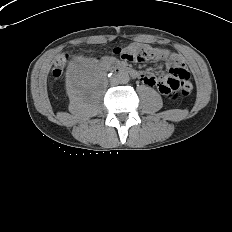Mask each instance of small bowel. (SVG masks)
<instances>
[{
    "mask_svg": "<svg viewBox=\"0 0 232 232\" xmlns=\"http://www.w3.org/2000/svg\"><path fill=\"white\" fill-rule=\"evenodd\" d=\"M134 49H141V48H148L145 45L139 44V43H135L131 46ZM160 52V51H159ZM166 55H169L168 52H165ZM170 60L172 63V67L176 66V67H180L183 68L184 66V62L182 60L181 57L179 56H170ZM166 79L157 77L151 73H144L141 75V81L143 82V84H145L146 86H157V89L164 95V96H169L172 93V87L167 84L165 82ZM189 86L191 87V82H190V75H189Z\"/></svg>",
    "mask_w": 232,
    "mask_h": 232,
    "instance_id": "obj_1",
    "label": "small bowel"
}]
</instances>
